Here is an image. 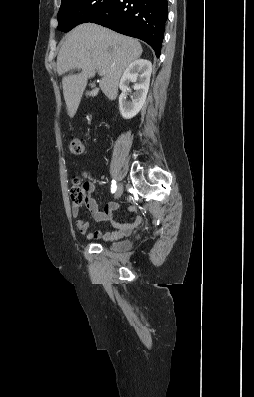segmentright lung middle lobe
Returning <instances> with one entry per match:
<instances>
[{
    "label": "right lung middle lobe",
    "mask_w": 254,
    "mask_h": 397,
    "mask_svg": "<svg viewBox=\"0 0 254 397\" xmlns=\"http://www.w3.org/2000/svg\"><path fill=\"white\" fill-rule=\"evenodd\" d=\"M113 0H62L58 12V30L68 32L75 26L101 15Z\"/></svg>",
    "instance_id": "right-lung-middle-lobe-1"
}]
</instances>
